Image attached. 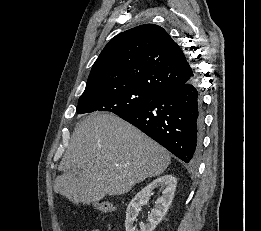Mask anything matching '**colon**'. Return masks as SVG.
<instances>
[{
	"label": "colon",
	"mask_w": 261,
	"mask_h": 231,
	"mask_svg": "<svg viewBox=\"0 0 261 231\" xmlns=\"http://www.w3.org/2000/svg\"><path fill=\"white\" fill-rule=\"evenodd\" d=\"M92 206L95 210L104 214H110L115 210V206L110 202H94Z\"/></svg>",
	"instance_id": "obj_1"
}]
</instances>
